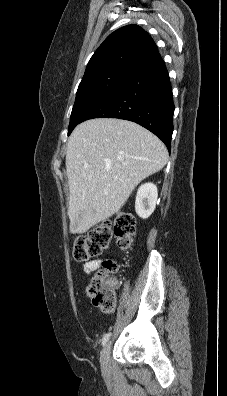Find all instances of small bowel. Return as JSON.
Returning <instances> with one entry per match:
<instances>
[{"label":"small bowel","mask_w":227,"mask_h":396,"mask_svg":"<svg viewBox=\"0 0 227 396\" xmlns=\"http://www.w3.org/2000/svg\"><path fill=\"white\" fill-rule=\"evenodd\" d=\"M100 265V260H92L84 264V271L90 273L96 270Z\"/></svg>","instance_id":"c3829d8e"}]
</instances>
